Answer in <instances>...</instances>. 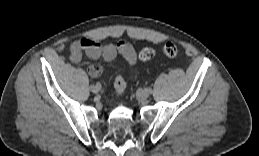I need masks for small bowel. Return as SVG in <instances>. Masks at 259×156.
<instances>
[{
    "instance_id": "obj_1",
    "label": "small bowel",
    "mask_w": 259,
    "mask_h": 156,
    "mask_svg": "<svg viewBox=\"0 0 259 156\" xmlns=\"http://www.w3.org/2000/svg\"><path fill=\"white\" fill-rule=\"evenodd\" d=\"M69 54L71 61L77 64L81 62L83 54L92 59H103L105 61H111L117 54H120L130 66H134L137 61L133 47L124 41L112 44L99 43L90 38H81L71 43ZM88 73L91 77H98L102 73V69L97 65H90Z\"/></svg>"
}]
</instances>
